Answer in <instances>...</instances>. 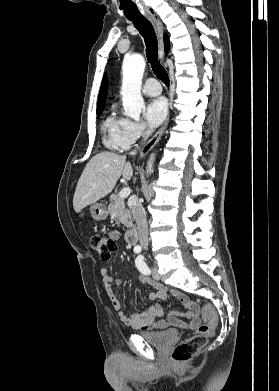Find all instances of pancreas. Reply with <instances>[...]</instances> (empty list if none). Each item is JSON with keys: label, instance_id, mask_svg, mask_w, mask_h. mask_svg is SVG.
Masks as SVG:
<instances>
[{"label": "pancreas", "instance_id": "cf45deb5", "mask_svg": "<svg viewBox=\"0 0 279 391\" xmlns=\"http://www.w3.org/2000/svg\"><path fill=\"white\" fill-rule=\"evenodd\" d=\"M110 204L108 206V212L112 217H115L119 223H122L125 227H133L131 220V213L129 209L126 208L123 198L112 194L110 196Z\"/></svg>", "mask_w": 279, "mask_h": 391}]
</instances>
